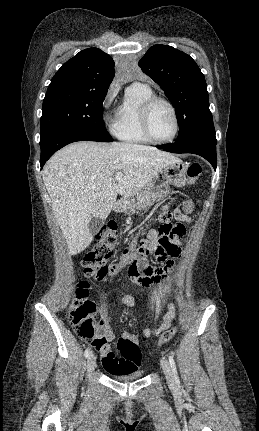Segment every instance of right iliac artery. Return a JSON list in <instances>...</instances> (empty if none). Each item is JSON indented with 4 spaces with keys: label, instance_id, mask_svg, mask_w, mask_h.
Listing matches in <instances>:
<instances>
[{
    "label": "right iliac artery",
    "instance_id": "1",
    "mask_svg": "<svg viewBox=\"0 0 259 431\" xmlns=\"http://www.w3.org/2000/svg\"><path fill=\"white\" fill-rule=\"evenodd\" d=\"M90 354H91V351H90V349H89V348H87V349L85 350V357H86V358H88V357L90 356Z\"/></svg>",
    "mask_w": 259,
    "mask_h": 431
}]
</instances>
